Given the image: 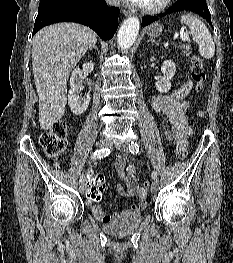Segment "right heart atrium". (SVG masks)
Listing matches in <instances>:
<instances>
[{
    "label": "right heart atrium",
    "instance_id": "obj_1",
    "mask_svg": "<svg viewBox=\"0 0 233 263\" xmlns=\"http://www.w3.org/2000/svg\"><path fill=\"white\" fill-rule=\"evenodd\" d=\"M110 4L112 5H117L119 4L120 0H107Z\"/></svg>",
    "mask_w": 233,
    "mask_h": 263
}]
</instances>
